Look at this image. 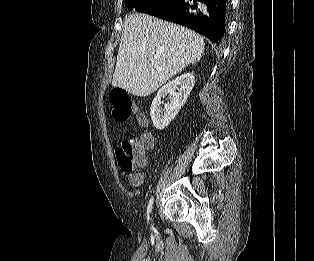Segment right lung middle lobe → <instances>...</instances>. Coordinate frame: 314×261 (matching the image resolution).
I'll list each match as a JSON object with an SVG mask.
<instances>
[{
    "label": "right lung middle lobe",
    "instance_id": "obj_1",
    "mask_svg": "<svg viewBox=\"0 0 314 261\" xmlns=\"http://www.w3.org/2000/svg\"><path fill=\"white\" fill-rule=\"evenodd\" d=\"M130 10L135 9L137 12L146 13L155 6L161 4L164 0H125Z\"/></svg>",
    "mask_w": 314,
    "mask_h": 261
}]
</instances>
